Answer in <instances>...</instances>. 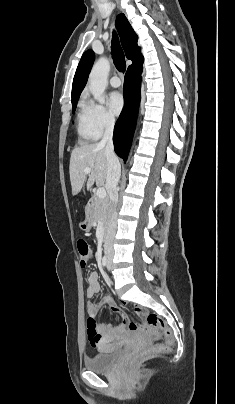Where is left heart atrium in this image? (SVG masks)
<instances>
[{"instance_id": "1", "label": "left heart atrium", "mask_w": 235, "mask_h": 404, "mask_svg": "<svg viewBox=\"0 0 235 404\" xmlns=\"http://www.w3.org/2000/svg\"><path fill=\"white\" fill-rule=\"evenodd\" d=\"M108 106L112 114L118 115L124 108V98L119 92H112L108 97Z\"/></svg>"}]
</instances>
